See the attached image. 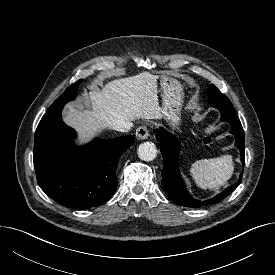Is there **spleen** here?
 <instances>
[{"label": "spleen", "instance_id": "obj_1", "mask_svg": "<svg viewBox=\"0 0 275 275\" xmlns=\"http://www.w3.org/2000/svg\"><path fill=\"white\" fill-rule=\"evenodd\" d=\"M234 165L231 155L194 162L190 174L195 184L202 189L217 190L229 180L233 174Z\"/></svg>", "mask_w": 275, "mask_h": 275}]
</instances>
